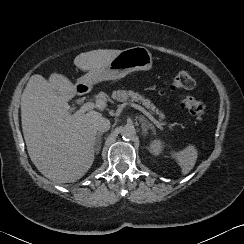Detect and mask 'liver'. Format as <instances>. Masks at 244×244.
<instances>
[{
	"label": "liver",
	"instance_id": "1",
	"mask_svg": "<svg viewBox=\"0 0 244 244\" xmlns=\"http://www.w3.org/2000/svg\"><path fill=\"white\" fill-rule=\"evenodd\" d=\"M119 51L99 49L81 53L75 57L74 65L88 73L98 71ZM87 74L80 81L90 86L93 78ZM75 95V85L54 72L49 80L33 75L21 98L22 130L30 159L42 175L57 183L79 180L94 161V121L101 113H71L69 100ZM97 104L101 110L106 107L103 99H97Z\"/></svg>",
	"mask_w": 244,
	"mask_h": 244
}]
</instances>
